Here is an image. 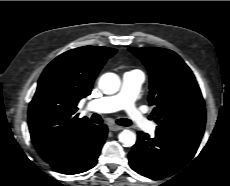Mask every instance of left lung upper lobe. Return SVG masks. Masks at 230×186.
Wrapping results in <instances>:
<instances>
[{
	"label": "left lung upper lobe",
	"instance_id": "left-lung-upper-lobe-1",
	"mask_svg": "<svg viewBox=\"0 0 230 186\" xmlns=\"http://www.w3.org/2000/svg\"><path fill=\"white\" fill-rule=\"evenodd\" d=\"M150 74L149 103L157 128L203 136L205 104L195 76L175 52L157 48H129Z\"/></svg>",
	"mask_w": 230,
	"mask_h": 186
}]
</instances>
